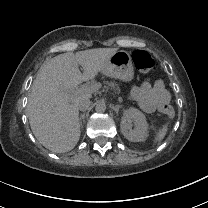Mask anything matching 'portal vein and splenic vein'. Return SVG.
<instances>
[{"mask_svg": "<svg viewBox=\"0 0 208 208\" xmlns=\"http://www.w3.org/2000/svg\"><path fill=\"white\" fill-rule=\"evenodd\" d=\"M104 86H105V83H101V84L100 83H92L90 85H82L81 88H79V89L76 88V90L78 92H84L87 94H91V93L97 91L100 87H104ZM107 87H110L111 89H113L116 96L120 95L119 87L117 85H114L113 82H110L109 84H107Z\"/></svg>", "mask_w": 208, "mask_h": 208, "instance_id": "18ae733b", "label": "portal vein and splenic vein"}]
</instances>
